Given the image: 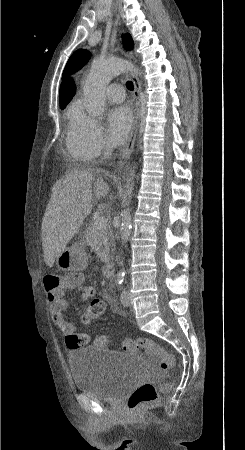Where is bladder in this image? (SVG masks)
Returning <instances> with one entry per match:
<instances>
[{"instance_id":"bladder-1","label":"bladder","mask_w":245,"mask_h":450,"mask_svg":"<svg viewBox=\"0 0 245 450\" xmlns=\"http://www.w3.org/2000/svg\"><path fill=\"white\" fill-rule=\"evenodd\" d=\"M74 389L116 402L146 376L142 358L98 347H75L67 353Z\"/></svg>"}]
</instances>
